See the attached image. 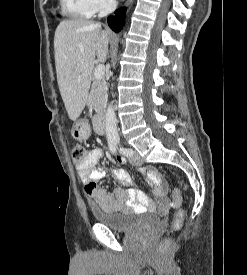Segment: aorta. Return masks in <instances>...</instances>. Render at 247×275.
<instances>
[{"mask_svg":"<svg viewBox=\"0 0 247 275\" xmlns=\"http://www.w3.org/2000/svg\"><path fill=\"white\" fill-rule=\"evenodd\" d=\"M105 127L108 140H117L119 138L115 109L112 104H109L105 113Z\"/></svg>","mask_w":247,"mask_h":275,"instance_id":"762f6f07","label":"aorta"}]
</instances>
